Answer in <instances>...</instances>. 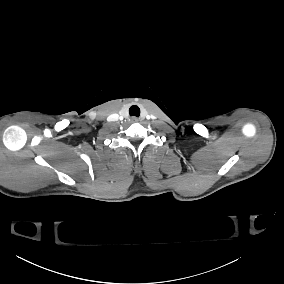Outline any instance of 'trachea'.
Masks as SVG:
<instances>
[{
	"instance_id": "obj_1",
	"label": "trachea",
	"mask_w": 284,
	"mask_h": 284,
	"mask_svg": "<svg viewBox=\"0 0 284 284\" xmlns=\"http://www.w3.org/2000/svg\"><path fill=\"white\" fill-rule=\"evenodd\" d=\"M129 113H130V116L139 117L140 109H139L138 106L133 105V106L130 107Z\"/></svg>"
}]
</instances>
